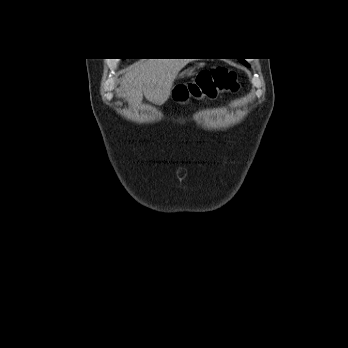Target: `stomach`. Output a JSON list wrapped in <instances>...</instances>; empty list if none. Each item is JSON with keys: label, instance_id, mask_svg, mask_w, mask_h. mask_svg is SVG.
Returning <instances> with one entry per match:
<instances>
[{"label": "stomach", "instance_id": "0dacf381", "mask_svg": "<svg viewBox=\"0 0 348 348\" xmlns=\"http://www.w3.org/2000/svg\"><path fill=\"white\" fill-rule=\"evenodd\" d=\"M194 74V71L192 69H188L183 72V76H192ZM173 90V89H172Z\"/></svg>", "mask_w": 348, "mask_h": 348}]
</instances>
